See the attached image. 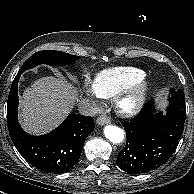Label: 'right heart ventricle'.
<instances>
[{"label":"right heart ventricle","mask_w":194,"mask_h":194,"mask_svg":"<svg viewBox=\"0 0 194 194\" xmlns=\"http://www.w3.org/2000/svg\"><path fill=\"white\" fill-rule=\"evenodd\" d=\"M145 75V72L139 68L113 67L96 74L93 86L99 97L108 99Z\"/></svg>","instance_id":"right-heart-ventricle-1"}]
</instances>
